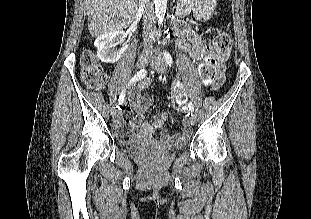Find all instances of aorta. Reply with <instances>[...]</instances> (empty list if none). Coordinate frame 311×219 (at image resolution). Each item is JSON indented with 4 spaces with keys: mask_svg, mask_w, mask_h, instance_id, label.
<instances>
[{
    "mask_svg": "<svg viewBox=\"0 0 311 219\" xmlns=\"http://www.w3.org/2000/svg\"><path fill=\"white\" fill-rule=\"evenodd\" d=\"M155 4V16L160 25L163 24L166 8H167V0H154Z\"/></svg>",
    "mask_w": 311,
    "mask_h": 219,
    "instance_id": "762f6f07",
    "label": "aorta"
}]
</instances>
